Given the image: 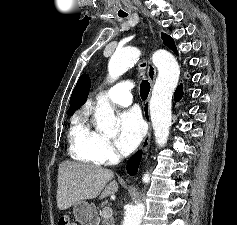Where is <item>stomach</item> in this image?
<instances>
[{"instance_id":"obj_1","label":"stomach","mask_w":237,"mask_h":225,"mask_svg":"<svg viewBox=\"0 0 237 225\" xmlns=\"http://www.w3.org/2000/svg\"><path fill=\"white\" fill-rule=\"evenodd\" d=\"M73 214L75 220L82 225H86L97 215L96 207L93 203H88L87 201H79L74 204Z\"/></svg>"}]
</instances>
